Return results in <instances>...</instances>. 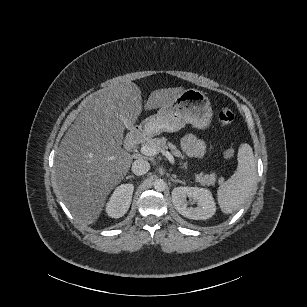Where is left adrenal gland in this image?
I'll list each match as a JSON object with an SVG mask.
<instances>
[{
  "instance_id": "obj_1",
  "label": "left adrenal gland",
  "mask_w": 307,
  "mask_h": 307,
  "mask_svg": "<svg viewBox=\"0 0 307 307\" xmlns=\"http://www.w3.org/2000/svg\"><path fill=\"white\" fill-rule=\"evenodd\" d=\"M172 181H174V182H180V183L185 184V181H184V180H181V179H178V178H172Z\"/></svg>"
}]
</instances>
